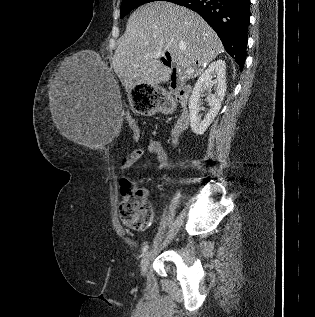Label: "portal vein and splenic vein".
<instances>
[{"label":"portal vein and splenic vein","instance_id":"portal-vein-and-splenic-vein-1","mask_svg":"<svg viewBox=\"0 0 315 317\" xmlns=\"http://www.w3.org/2000/svg\"><path fill=\"white\" fill-rule=\"evenodd\" d=\"M178 72H179L180 74L183 73L181 69H178ZM193 72H194V69H193V68H190V69H187V70L185 71V74H186V75H190V74H192Z\"/></svg>","mask_w":315,"mask_h":317}]
</instances>
